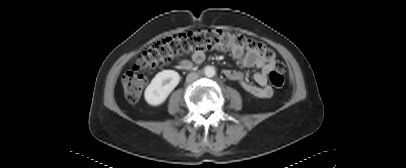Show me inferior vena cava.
<instances>
[{
  "mask_svg": "<svg viewBox=\"0 0 406 168\" xmlns=\"http://www.w3.org/2000/svg\"><path fill=\"white\" fill-rule=\"evenodd\" d=\"M198 78H199V74H197L195 72H191L187 75L186 82L192 83V82L196 81Z\"/></svg>",
  "mask_w": 406,
  "mask_h": 168,
  "instance_id": "1",
  "label": "inferior vena cava"
}]
</instances>
